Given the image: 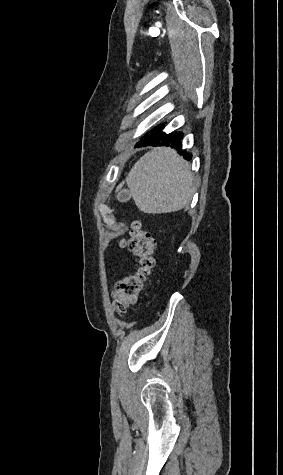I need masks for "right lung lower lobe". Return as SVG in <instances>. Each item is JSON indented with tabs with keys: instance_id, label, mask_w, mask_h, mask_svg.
Segmentation results:
<instances>
[{
	"instance_id": "98d812e1",
	"label": "right lung lower lobe",
	"mask_w": 283,
	"mask_h": 475,
	"mask_svg": "<svg viewBox=\"0 0 283 475\" xmlns=\"http://www.w3.org/2000/svg\"><path fill=\"white\" fill-rule=\"evenodd\" d=\"M164 127V123L160 124L157 126L155 129L150 131L149 133L146 134L145 137L141 139L140 142L135 147H140V146H148V145H153V146H171L172 148L174 147L175 149L181 150V140H182V133L179 132H174L170 134H165L164 132L161 131V129ZM186 152H182V155L186 159H191L192 155L186 156Z\"/></svg>"
}]
</instances>
